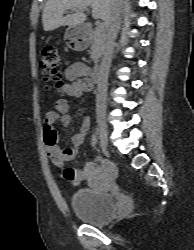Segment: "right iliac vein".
Instances as JSON below:
<instances>
[{
	"label": "right iliac vein",
	"mask_w": 194,
	"mask_h": 250,
	"mask_svg": "<svg viewBox=\"0 0 194 250\" xmlns=\"http://www.w3.org/2000/svg\"><path fill=\"white\" fill-rule=\"evenodd\" d=\"M98 135L104 149L108 147V128L104 118H98Z\"/></svg>",
	"instance_id": "obj_1"
}]
</instances>
